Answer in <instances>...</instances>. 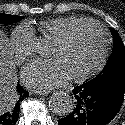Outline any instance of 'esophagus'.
Returning a JSON list of instances; mask_svg holds the SVG:
<instances>
[{
    "instance_id": "esophagus-1",
    "label": "esophagus",
    "mask_w": 125,
    "mask_h": 125,
    "mask_svg": "<svg viewBox=\"0 0 125 125\" xmlns=\"http://www.w3.org/2000/svg\"><path fill=\"white\" fill-rule=\"evenodd\" d=\"M37 94L39 95H48L50 93V91H36Z\"/></svg>"
}]
</instances>
